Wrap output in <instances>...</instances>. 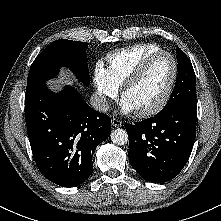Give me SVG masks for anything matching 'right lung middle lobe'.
I'll list each match as a JSON object with an SVG mask.
<instances>
[{
    "label": "right lung middle lobe",
    "instance_id": "right-lung-middle-lobe-1",
    "mask_svg": "<svg viewBox=\"0 0 221 221\" xmlns=\"http://www.w3.org/2000/svg\"><path fill=\"white\" fill-rule=\"evenodd\" d=\"M88 43L61 39L47 46L32 63L27 80L26 94L44 85L64 66L70 68L85 85L90 83L87 54Z\"/></svg>",
    "mask_w": 221,
    "mask_h": 221
}]
</instances>
